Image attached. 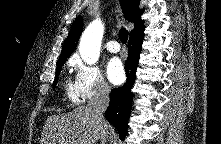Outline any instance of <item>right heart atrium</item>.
<instances>
[{"label":"right heart atrium","mask_w":221,"mask_h":144,"mask_svg":"<svg viewBox=\"0 0 221 144\" xmlns=\"http://www.w3.org/2000/svg\"><path fill=\"white\" fill-rule=\"evenodd\" d=\"M75 91L79 100L90 101L103 98L110 92V86L105 80L99 67L74 59Z\"/></svg>","instance_id":"obj_1"}]
</instances>
